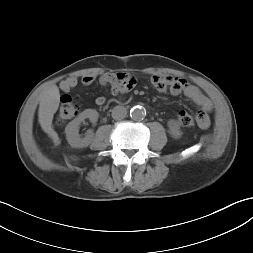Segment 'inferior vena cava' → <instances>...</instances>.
Here are the masks:
<instances>
[{"instance_id":"obj_1","label":"inferior vena cava","mask_w":253,"mask_h":253,"mask_svg":"<svg viewBox=\"0 0 253 253\" xmlns=\"http://www.w3.org/2000/svg\"><path fill=\"white\" fill-rule=\"evenodd\" d=\"M126 115H127V110L123 106H116L112 110V117L115 120H121V119L125 118Z\"/></svg>"}]
</instances>
